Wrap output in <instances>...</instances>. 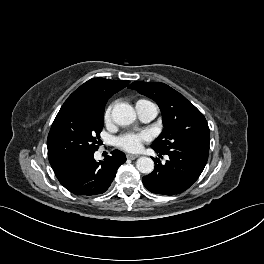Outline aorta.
Instances as JSON below:
<instances>
[{
  "label": "aorta",
  "mask_w": 264,
  "mask_h": 264,
  "mask_svg": "<svg viewBox=\"0 0 264 264\" xmlns=\"http://www.w3.org/2000/svg\"><path fill=\"white\" fill-rule=\"evenodd\" d=\"M113 121L121 126L132 124L136 119L134 109L126 103L116 104L112 110ZM136 167L139 172L149 174L154 170V162L149 157H140L136 162Z\"/></svg>",
  "instance_id": "1"
}]
</instances>
